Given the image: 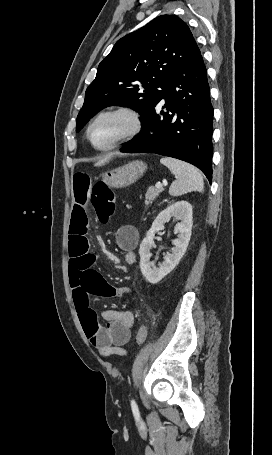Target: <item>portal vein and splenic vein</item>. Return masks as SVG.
I'll return each instance as SVG.
<instances>
[{
  "mask_svg": "<svg viewBox=\"0 0 272 455\" xmlns=\"http://www.w3.org/2000/svg\"><path fill=\"white\" fill-rule=\"evenodd\" d=\"M155 187H156V188H162L163 185H162L161 183H156Z\"/></svg>",
  "mask_w": 272,
  "mask_h": 455,
  "instance_id": "obj_1",
  "label": "portal vein and splenic vein"
}]
</instances>
